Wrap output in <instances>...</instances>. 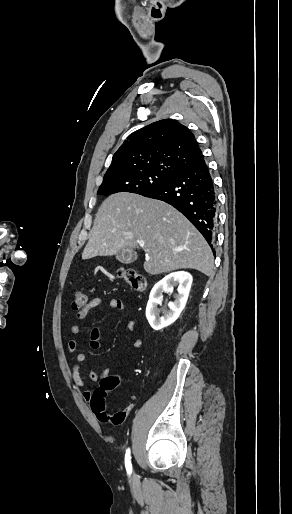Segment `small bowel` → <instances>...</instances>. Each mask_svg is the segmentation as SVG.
<instances>
[{"label":"small bowel","instance_id":"c3829d8e","mask_svg":"<svg viewBox=\"0 0 292 514\" xmlns=\"http://www.w3.org/2000/svg\"><path fill=\"white\" fill-rule=\"evenodd\" d=\"M107 305L113 310H117L120 312H124L127 309V306L125 302L116 297H102V296H96L89 300L87 305L80 311L76 312L75 317L77 320H83L87 317L88 313L95 308H98L100 306ZM128 328L131 331H135L136 329V323L133 319H130L128 321ZM81 334V329L78 325H73L71 327V335L74 338L79 337ZM90 339V348L93 350H97L101 346L100 342V329L98 327H93L89 334ZM142 345V341L140 338L136 337L132 341V346L134 348H139ZM67 349L70 353H74L78 349V342L76 339H71L67 343ZM85 362V355L83 353H77L74 359V363L71 368V379L75 386L78 388L84 389L82 393V397L84 400H89L91 397L90 390L87 389V384L84 381L82 377V366ZM102 369L100 372L96 371H90L88 372L87 376L92 381H99L102 378L106 377L108 375V369L109 366L107 364H104L102 366ZM132 400H135V397H132Z\"/></svg>","mask_w":292,"mask_h":514}]
</instances>
